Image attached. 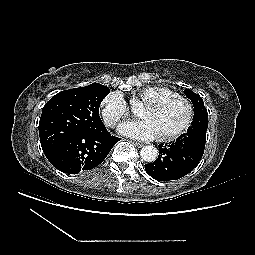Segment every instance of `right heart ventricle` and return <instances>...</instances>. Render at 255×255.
<instances>
[{
  "label": "right heart ventricle",
  "mask_w": 255,
  "mask_h": 255,
  "mask_svg": "<svg viewBox=\"0 0 255 255\" xmlns=\"http://www.w3.org/2000/svg\"><path fill=\"white\" fill-rule=\"evenodd\" d=\"M172 91L166 87L149 86L142 89L138 96L145 104L154 101L162 96L171 94Z\"/></svg>",
  "instance_id": "right-heart-ventricle-1"
}]
</instances>
